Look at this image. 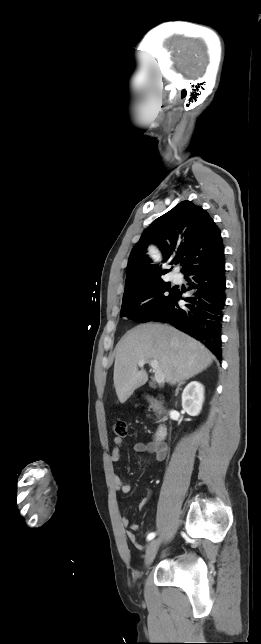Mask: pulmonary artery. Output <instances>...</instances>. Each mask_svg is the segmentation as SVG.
<instances>
[{
  "instance_id": "e3ab8cb5",
  "label": "pulmonary artery",
  "mask_w": 261,
  "mask_h": 644,
  "mask_svg": "<svg viewBox=\"0 0 261 644\" xmlns=\"http://www.w3.org/2000/svg\"><path fill=\"white\" fill-rule=\"evenodd\" d=\"M172 279H173L174 281H178V280H179V276H178L177 274H173V275H172Z\"/></svg>"
}]
</instances>
